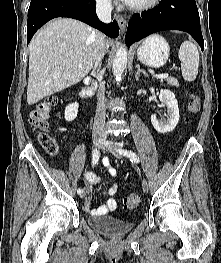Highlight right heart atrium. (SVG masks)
<instances>
[{
  "mask_svg": "<svg viewBox=\"0 0 221 263\" xmlns=\"http://www.w3.org/2000/svg\"><path fill=\"white\" fill-rule=\"evenodd\" d=\"M97 3L104 7V8H110L111 7V0H96Z\"/></svg>",
  "mask_w": 221,
  "mask_h": 263,
  "instance_id": "1",
  "label": "right heart atrium"
}]
</instances>
